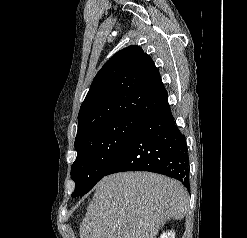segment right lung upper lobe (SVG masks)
Wrapping results in <instances>:
<instances>
[{"label":"right lung upper lobe","instance_id":"1","mask_svg":"<svg viewBox=\"0 0 247 238\" xmlns=\"http://www.w3.org/2000/svg\"><path fill=\"white\" fill-rule=\"evenodd\" d=\"M167 105L153 60L131 45L113 55L94 78L78 114L76 139L115 119L146 118Z\"/></svg>","mask_w":247,"mask_h":238}]
</instances>
